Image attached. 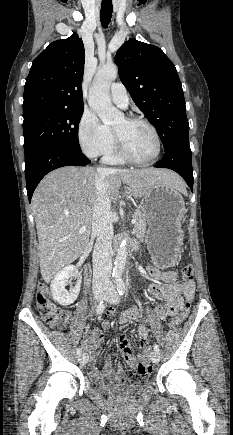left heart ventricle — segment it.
Returning a JSON list of instances; mask_svg holds the SVG:
<instances>
[{
  "label": "left heart ventricle",
  "mask_w": 233,
  "mask_h": 435,
  "mask_svg": "<svg viewBox=\"0 0 233 435\" xmlns=\"http://www.w3.org/2000/svg\"><path fill=\"white\" fill-rule=\"evenodd\" d=\"M126 150L137 160L148 161L156 150L155 140L150 129L140 122H127L120 119L113 125Z\"/></svg>",
  "instance_id": "b2bd125f"
}]
</instances>
